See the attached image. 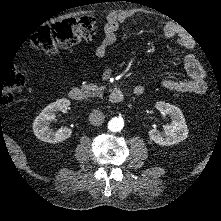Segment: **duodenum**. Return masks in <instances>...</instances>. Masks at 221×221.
<instances>
[{
	"instance_id": "1",
	"label": "duodenum",
	"mask_w": 221,
	"mask_h": 221,
	"mask_svg": "<svg viewBox=\"0 0 221 221\" xmlns=\"http://www.w3.org/2000/svg\"><path fill=\"white\" fill-rule=\"evenodd\" d=\"M142 93H143V88L141 86H137L133 90V94L135 95H140ZM83 96H84L83 91L78 87H73L67 92V97L72 101H80L83 99ZM125 96L126 94L123 91H121L118 88H114L110 91L109 100L113 104H119L124 100Z\"/></svg>"
}]
</instances>
